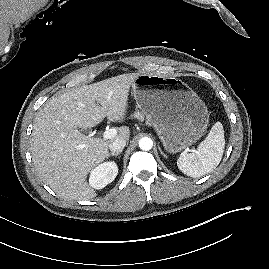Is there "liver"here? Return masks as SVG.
Returning a JSON list of instances; mask_svg holds the SVG:
<instances>
[{"label": "liver", "mask_w": 269, "mask_h": 269, "mask_svg": "<svg viewBox=\"0 0 269 269\" xmlns=\"http://www.w3.org/2000/svg\"><path fill=\"white\" fill-rule=\"evenodd\" d=\"M140 74H122L70 90L50 98L37 112L31 140L33 163L38 176L58 196L89 200L97 195L87 175L109 156L114 139L88 137L78 128L94 127L105 117L122 122L130 86ZM129 136V128L122 126L116 138L128 140Z\"/></svg>", "instance_id": "obj_1"}]
</instances>
